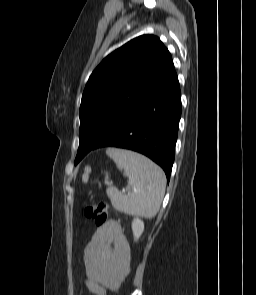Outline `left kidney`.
<instances>
[{"instance_id": "left-kidney-1", "label": "left kidney", "mask_w": 256, "mask_h": 295, "mask_svg": "<svg viewBox=\"0 0 256 295\" xmlns=\"http://www.w3.org/2000/svg\"><path fill=\"white\" fill-rule=\"evenodd\" d=\"M132 231L134 235V240L137 241L144 231V222L140 218L136 217L133 219Z\"/></svg>"}]
</instances>
